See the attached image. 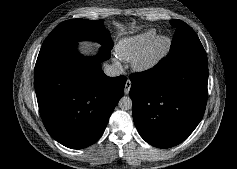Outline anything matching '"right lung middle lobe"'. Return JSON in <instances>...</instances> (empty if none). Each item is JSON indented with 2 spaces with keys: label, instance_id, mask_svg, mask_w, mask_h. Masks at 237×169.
Segmentation results:
<instances>
[{
  "label": "right lung middle lobe",
  "instance_id": "obj_1",
  "mask_svg": "<svg viewBox=\"0 0 237 169\" xmlns=\"http://www.w3.org/2000/svg\"><path fill=\"white\" fill-rule=\"evenodd\" d=\"M91 40L111 49L113 42L102 20L72 19L58 25L43 45Z\"/></svg>",
  "mask_w": 237,
  "mask_h": 169
}]
</instances>
